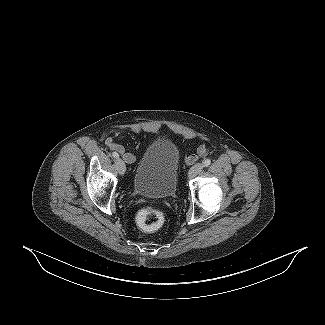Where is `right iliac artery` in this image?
I'll list each match as a JSON object with an SVG mask.
<instances>
[{"label": "right iliac artery", "mask_w": 325, "mask_h": 325, "mask_svg": "<svg viewBox=\"0 0 325 325\" xmlns=\"http://www.w3.org/2000/svg\"><path fill=\"white\" fill-rule=\"evenodd\" d=\"M112 156H113L115 159H117V158L119 157L118 153H116V152H113V153H112Z\"/></svg>", "instance_id": "right-iliac-artery-1"}]
</instances>
